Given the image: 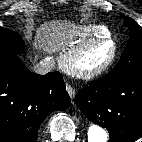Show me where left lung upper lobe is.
I'll return each instance as SVG.
<instances>
[{
    "mask_svg": "<svg viewBox=\"0 0 142 142\" xmlns=\"http://www.w3.org/2000/svg\"><path fill=\"white\" fill-rule=\"evenodd\" d=\"M129 29V40L124 52L111 74L142 71V27L135 20L122 16Z\"/></svg>",
    "mask_w": 142,
    "mask_h": 142,
    "instance_id": "left-lung-upper-lobe-1",
    "label": "left lung upper lobe"
}]
</instances>
